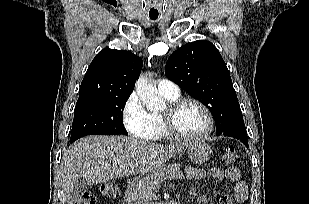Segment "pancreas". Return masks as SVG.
Returning <instances> with one entry per match:
<instances>
[{
	"label": "pancreas",
	"instance_id": "pancreas-1",
	"mask_svg": "<svg viewBox=\"0 0 309 204\" xmlns=\"http://www.w3.org/2000/svg\"><path fill=\"white\" fill-rule=\"evenodd\" d=\"M167 179H184V175L180 171L179 165H162L156 168L150 174L146 175L134 190V200L140 204H148V201L155 198V193L158 191L160 184Z\"/></svg>",
	"mask_w": 309,
	"mask_h": 204
}]
</instances>
